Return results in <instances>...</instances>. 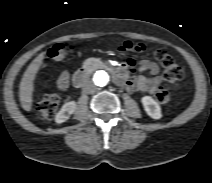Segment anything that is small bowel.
Wrapping results in <instances>:
<instances>
[{
    "instance_id": "c3829d8e",
    "label": "small bowel",
    "mask_w": 212,
    "mask_h": 183,
    "mask_svg": "<svg viewBox=\"0 0 212 183\" xmlns=\"http://www.w3.org/2000/svg\"><path fill=\"white\" fill-rule=\"evenodd\" d=\"M137 66L141 72H147L149 75L140 74L135 79H129L128 74L133 71V67ZM158 65L150 60H140L136 62L133 58H130L119 71L120 78L117 82L124 85L127 91L133 92L136 89L150 94H154L159 88H161L162 79L158 76ZM70 84L69 74L64 71L60 74L57 80V86L60 90H67Z\"/></svg>"
}]
</instances>
